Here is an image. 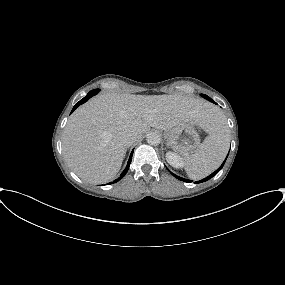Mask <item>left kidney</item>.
I'll list each match as a JSON object with an SVG mask.
<instances>
[{
	"label": "left kidney",
	"mask_w": 285,
	"mask_h": 285,
	"mask_svg": "<svg viewBox=\"0 0 285 285\" xmlns=\"http://www.w3.org/2000/svg\"><path fill=\"white\" fill-rule=\"evenodd\" d=\"M166 160L174 168H181L183 166L182 159L174 152H167Z\"/></svg>",
	"instance_id": "5707ae66"
}]
</instances>
